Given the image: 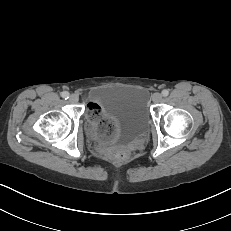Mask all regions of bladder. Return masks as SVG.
<instances>
[{
    "instance_id": "1",
    "label": "bladder",
    "mask_w": 231,
    "mask_h": 231,
    "mask_svg": "<svg viewBox=\"0 0 231 231\" xmlns=\"http://www.w3.org/2000/svg\"><path fill=\"white\" fill-rule=\"evenodd\" d=\"M148 92L137 86L104 89L92 95V102L101 108V114L109 120L114 130L110 136L122 143L143 138L150 126ZM99 129V121L91 118L89 131ZM98 136L100 135L99 132Z\"/></svg>"
}]
</instances>
